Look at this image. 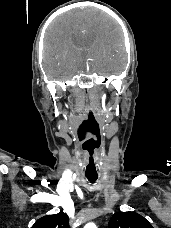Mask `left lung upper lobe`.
<instances>
[{
    "label": "left lung upper lobe",
    "mask_w": 171,
    "mask_h": 228,
    "mask_svg": "<svg viewBox=\"0 0 171 228\" xmlns=\"http://www.w3.org/2000/svg\"><path fill=\"white\" fill-rule=\"evenodd\" d=\"M108 228H153L143 216L134 212L115 213L108 224Z\"/></svg>",
    "instance_id": "left-lung-upper-lobe-1"
}]
</instances>
